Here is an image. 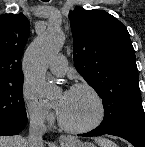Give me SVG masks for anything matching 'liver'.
<instances>
[{"instance_id": "obj_1", "label": "liver", "mask_w": 145, "mask_h": 147, "mask_svg": "<svg viewBox=\"0 0 145 147\" xmlns=\"http://www.w3.org/2000/svg\"><path fill=\"white\" fill-rule=\"evenodd\" d=\"M96 141L100 145L105 142L103 139H97ZM26 145V139L21 136H0V147H26Z\"/></svg>"}]
</instances>
